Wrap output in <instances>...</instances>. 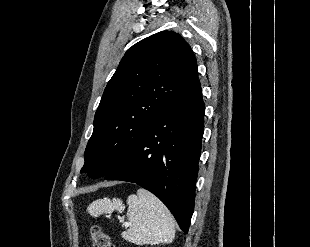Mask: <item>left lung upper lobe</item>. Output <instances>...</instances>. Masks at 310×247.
<instances>
[{"mask_svg":"<svg viewBox=\"0 0 310 247\" xmlns=\"http://www.w3.org/2000/svg\"><path fill=\"white\" fill-rule=\"evenodd\" d=\"M197 79L194 53L173 31L128 49L97 108L81 173L99 178L124 162L151 124Z\"/></svg>","mask_w":310,"mask_h":247,"instance_id":"1","label":"left lung upper lobe"}]
</instances>
